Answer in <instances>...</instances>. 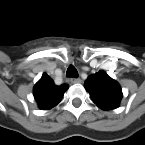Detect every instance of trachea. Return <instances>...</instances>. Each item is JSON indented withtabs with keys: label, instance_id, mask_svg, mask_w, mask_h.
Instances as JSON below:
<instances>
[{
	"label": "trachea",
	"instance_id": "obj_1",
	"mask_svg": "<svg viewBox=\"0 0 145 145\" xmlns=\"http://www.w3.org/2000/svg\"><path fill=\"white\" fill-rule=\"evenodd\" d=\"M66 76L67 77L78 78V72L73 65H70L68 67L67 72H66Z\"/></svg>",
	"mask_w": 145,
	"mask_h": 145
}]
</instances>
